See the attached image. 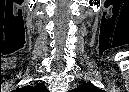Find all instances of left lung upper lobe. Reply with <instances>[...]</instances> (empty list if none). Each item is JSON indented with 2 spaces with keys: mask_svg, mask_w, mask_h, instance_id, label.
<instances>
[{
  "mask_svg": "<svg viewBox=\"0 0 129 92\" xmlns=\"http://www.w3.org/2000/svg\"><path fill=\"white\" fill-rule=\"evenodd\" d=\"M76 92H103V91L98 87L94 86L93 84L84 83L76 89Z\"/></svg>",
  "mask_w": 129,
  "mask_h": 92,
  "instance_id": "1",
  "label": "left lung upper lobe"
}]
</instances>
